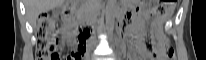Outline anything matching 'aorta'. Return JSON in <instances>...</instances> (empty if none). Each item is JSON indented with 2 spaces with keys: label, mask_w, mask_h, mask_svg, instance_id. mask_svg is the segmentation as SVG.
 Listing matches in <instances>:
<instances>
[{
  "label": "aorta",
  "mask_w": 206,
  "mask_h": 60,
  "mask_svg": "<svg viewBox=\"0 0 206 60\" xmlns=\"http://www.w3.org/2000/svg\"><path fill=\"white\" fill-rule=\"evenodd\" d=\"M115 14H116L115 0H108L106 10H105V17H106V27L110 34L113 32L114 29Z\"/></svg>",
  "instance_id": "aorta-1"
}]
</instances>
